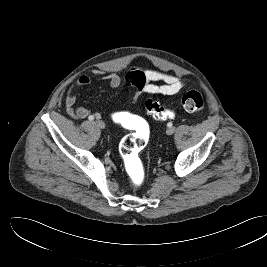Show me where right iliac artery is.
<instances>
[{
  "label": "right iliac artery",
  "mask_w": 267,
  "mask_h": 267,
  "mask_svg": "<svg viewBox=\"0 0 267 267\" xmlns=\"http://www.w3.org/2000/svg\"><path fill=\"white\" fill-rule=\"evenodd\" d=\"M88 119H89L90 121H93V120H94V117H93V116H89Z\"/></svg>",
  "instance_id": "right-iliac-artery-1"
}]
</instances>
